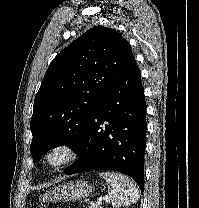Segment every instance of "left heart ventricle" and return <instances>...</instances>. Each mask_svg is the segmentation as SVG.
<instances>
[{
	"label": "left heart ventricle",
	"mask_w": 199,
	"mask_h": 208,
	"mask_svg": "<svg viewBox=\"0 0 199 208\" xmlns=\"http://www.w3.org/2000/svg\"><path fill=\"white\" fill-rule=\"evenodd\" d=\"M62 158V154L61 153H56L52 156V160L53 161H58Z\"/></svg>",
	"instance_id": "obj_1"
}]
</instances>
